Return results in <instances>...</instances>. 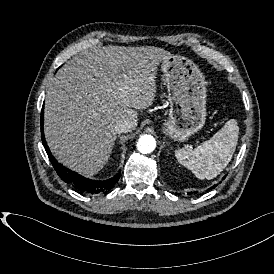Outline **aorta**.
<instances>
[{
  "instance_id": "1",
  "label": "aorta",
  "mask_w": 274,
  "mask_h": 274,
  "mask_svg": "<svg viewBox=\"0 0 274 274\" xmlns=\"http://www.w3.org/2000/svg\"><path fill=\"white\" fill-rule=\"evenodd\" d=\"M156 148L155 138L151 135H142L137 142V149L143 153H151Z\"/></svg>"
}]
</instances>
